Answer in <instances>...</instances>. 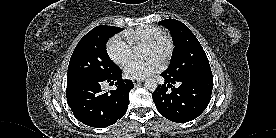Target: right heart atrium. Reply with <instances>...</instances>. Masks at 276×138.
<instances>
[{"label":"right heart atrium","mask_w":276,"mask_h":138,"mask_svg":"<svg viewBox=\"0 0 276 138\" xmlns=\"http://www.w3.org/2000/svg\"><path fill=\"white\" fill-rule=\"evenodd\" d=\"M106 49L111 60L119 66H124L133 55L132 45L120 35L113 36Z\"/></svg>","instance_id":"obj_1"}]
</instances>
